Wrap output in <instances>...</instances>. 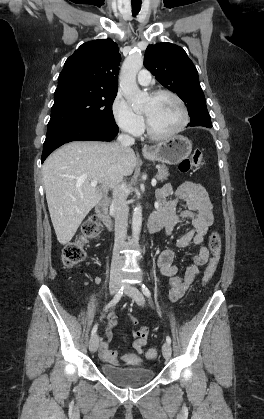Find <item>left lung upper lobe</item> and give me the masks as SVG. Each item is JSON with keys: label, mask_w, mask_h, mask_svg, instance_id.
Returning <instances> with one entry per match:
<instances>
[{"label": "left lung upper lobe", "mask_w": 264, "mask_h": 419, "mask_svg": "<svg viewBox=\"0 0 264 419\" xmlns=\"http://www.w3.org/2000/svg\"><path fill=\"white\" fill-rule=\"evenodd\" d=\"M144 65L159 83L185 102L189 115L205 113L210 117L197 69L183 48L165 42L149 45Z\"/></svg>", "instance_id": "left-lung-upper-lobe-1"}]
</instances>
